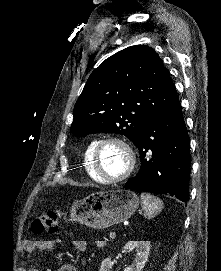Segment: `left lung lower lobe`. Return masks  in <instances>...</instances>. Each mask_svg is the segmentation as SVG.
<instances>
[{"label":"left lung lower lobe","instance_id":"obj_1","mask_svg":"<svg viewBox=\"0 0 221 271\" xmlns=\"http://www.w3.org/2000/svg\"><path fill=\"white\" fill-rule=\"evenodd\" d=\"M134 144L139 149L141 167L124 188L171 194L187 202L190 140L177 96L162 113L142 126ZM148 151L152 155L146 156Z\"/></svg>","mask_w":221,"mask_h":271}]
</instances>
